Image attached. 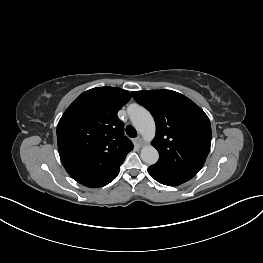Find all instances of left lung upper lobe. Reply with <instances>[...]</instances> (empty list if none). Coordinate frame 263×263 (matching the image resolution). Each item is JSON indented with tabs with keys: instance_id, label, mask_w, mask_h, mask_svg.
<instances>
[{
	"instance_id": "left-lung-upper-lobe-1",
	"label": "left lung upper lobe",
	"mask_w": 263,
	"mask_h": 263,
	"mask_svg": "<svg viewBox=\"0 0 263 263\" xmlns=\"http://www.w3.org/2000/svg\"><path fill=\"white\" fill-rule=\"evenodd\" d=\"M156 123L152 145L159 152L153 167L171 175L194 177L211 145V125L204 111L184 95L171 90L133 91Z\"/></svg>"
}]
</instances>
